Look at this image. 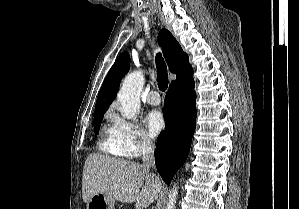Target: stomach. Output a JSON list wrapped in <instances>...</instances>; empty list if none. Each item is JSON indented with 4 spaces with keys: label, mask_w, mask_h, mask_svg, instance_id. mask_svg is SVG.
<instances>
[{
    "label": "stomach",
    "mask_w": 299,
    "mask_h": 209,
    "mask_svg": "<svg viewBox=\"0 0 299 209\" xmlns=\"http://www.w3.org/2000/svg\"><path fill=\"white\" fill-rule=\"evenodd\" d=\"M87 209H115V202L107 195L98 193L87 202Z\"/></svg>",
    "instance_id": "0dacf381"
}]
</instances>
